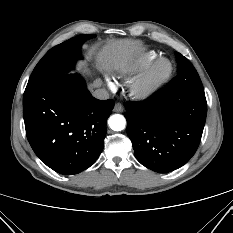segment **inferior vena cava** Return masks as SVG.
<instances>
[{"instance_id": "602c4592", "label": "inferior vena cava", "mask_w": 233, "mask_h": 233, "mask_svg": "<svg viewBox=\"0 0 233 233\" xmlns=\"http://www.w3.org/2000/svg\"><path fill=\"white\" fill-rule=\"evenodd\" d=\"M93 96L100 100H106L109 98V93L105 89H97L93 92Z\"/></svg>"}]
</instances>
